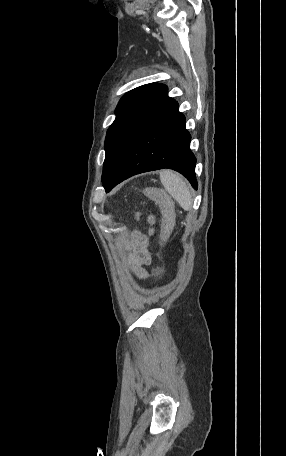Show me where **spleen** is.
Masks as SVG:
<instances>
[{
  "label": "spleen",
  "mask_w": 286,
  "mask_h": 456,
  "mask_svg": "<svg viewBox=\"0 0 286 456\" xmlns=\"http://www.w3.org/2000/svg\"><path fill=\"white\" fill-rule=\"evenodd\" d=\"M160 179L165 190L179 205L185 211H190L192 208V195L188 182L180 174L171 170H162Z\"/></svg>",
  "instance_id": "spleen-1"
}]
</instances>
